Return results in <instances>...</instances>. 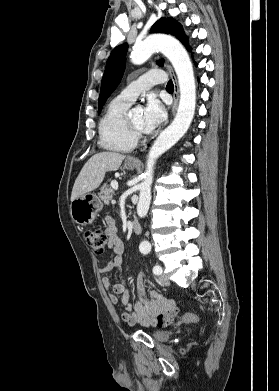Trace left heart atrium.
Instances as JSON below:
<instances>
[{
	"label": "left heart atrium",
	"instance_id": "1",
	"mask_svg": "<svg viewBox=\"0 0 279 391\" xmlns=\"http://www.w3.org/2000/svg\"><path fill=\"white\" fill-rule=\"evenodd\" d=\"M166 111L161 102L150 96L143 111V128L147 133L155 130L165 119Z\"/></svg>",
	"mask_w": 279,
	"mask_h": 391
}]
</instances>
